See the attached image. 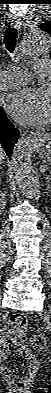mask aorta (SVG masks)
<instances>
[{"label":"aorta","mask_w":51,"mask_h":393,"mask_svg":"<svg viewBox=\"0 0 51 393\" xmlns=\"http://www.w3.org/2000/svg\"><path fill=\"white\" fill-rule=\"evenodd\" d=\"M49 35L43 30H35L26 34L21 41V52L24 56H40L50 51ZM44 133L33 134L22 138L15 145L12 154L13 172L18 186L30 195L36 193V179L32 166L33 151L45 143Z\"/></svg>","instance_id":"aorta-1"}]
</instances>
